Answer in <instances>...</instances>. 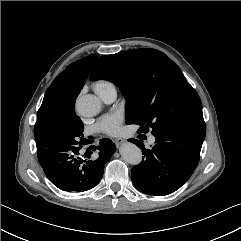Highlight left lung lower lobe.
I'll return each mask as SVG.
<instances>
[{
  "mask_svg": "<svg viewBox=\"0 0 241 241\" xmlns=\"http://www.w3.org/2000/svg\"><path fill=\"white\" fill-rule=\"evenodd\" d=\"M154 136L156 141L151 149L136 139L129 140L144 154L142 162L133 167L131 178L141 192L163 196L179 189L193 174L203 142L169 132Z\"/></svg>",
  "mask_w": 241,
  "mask_h": 241,
  "instance_id": "1",
  "label": "left lung lower lobe"
}]
</instances>
